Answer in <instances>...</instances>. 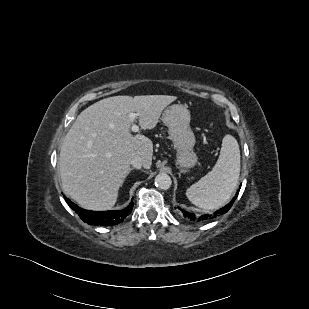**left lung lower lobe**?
<instances>
[{"label": "left lung lower lobe", "mask_w": 309, "mask_h": 309, "mask_svg": "<svg viewBox=\"0 0 309 309\" xmlns=\"http://www.w3.org/2000/svg\"><path fill=\"white\" fill-rule=\"evenodd\" d=\"M241 188V186H240ZM239 194V191H237L236 195L234 196V198L231 200V202L229 204H227L226 206H224L223 208H221L219 211H216L214 214L209 215V214H205L202 215L200 217H196L194 214H191L187 211L182 210L183 216L191 221H197V222H201V221H208L211 220L213 218H216L217 216H219L220 214L226 213L229 211V209L232 207L235 199L237 198ZM180 209V208H179Z\"/></svg>", "instance_id": "obj_1"}]
</instances>
